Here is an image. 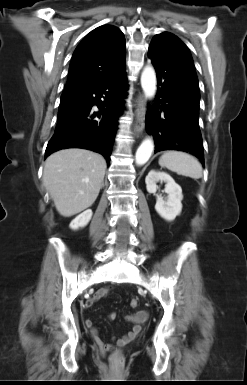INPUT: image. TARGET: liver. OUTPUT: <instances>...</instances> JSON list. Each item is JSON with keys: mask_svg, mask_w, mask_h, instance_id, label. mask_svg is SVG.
I'll return each mask as SVG.
<instances>
[{"mask_svg": "<svg viewBox=\"0 0 247 385\" xmlns=\"http://www.w3.org/2000/svg\"><path fill=\"white\" fill-rule=\"evenodd\" d=\"M106 161L78 148L60 150L45 161L43 184L60 215L71 217L90 207L101 189Z\"/></svg>", "mask_w": 247, "mask_h": 385, "instance_id": "1", "label": "liver"}]
</instances>
